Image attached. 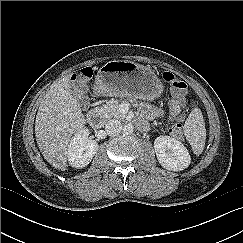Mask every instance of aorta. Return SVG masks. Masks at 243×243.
<instances>
[{"label": "aorta", "mask_w": 243, "mask_h": 243, "mask_svg": "<svg viewBox=\"0 0 243 243\" xmlns=\"http://www.w3.org/2000/svg\"><path fill=\"white\" fill-rule=\"evenodd\" d=\"M134 127L132 126V124H126L123 127V133L126 135H130L133 133Z\"/></svg>", "instance_id": "762f6f07"}]
</instances>
